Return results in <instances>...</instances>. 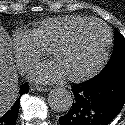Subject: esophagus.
I'll use <instances>...</instances> for the list:
<instances>
[{"mask_svg":"<svg viewBox=\"0 0 125 125\" xmlns=\"http://www.w3.org/2000/svg\"><path fill=\"white\" fill-rule=\"evenodd\" d=\"M36 88H37V90L42 91V92H47L49 90L48 88L41 87V86H37Z\"/></svg>","mask_w":125,"mask_h":125,"instance_id":"1","label":"esophagus"}]
</instances>
